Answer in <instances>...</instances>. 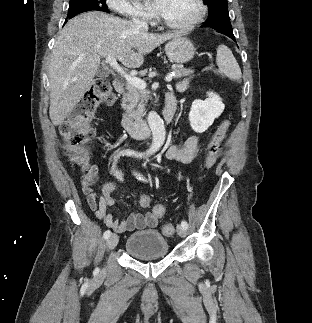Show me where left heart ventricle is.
Here are the masks:
<instances>
[{
  "mask_svg": "<svg viewBox=\"0 0 312 323\" xmlns=\"http://www.w3.org/2000/svg\"><path fill=\"white\" fill-rule=\"evenodd\" d=\"M162 13L169 22H176L177 18H187V14H198V2L196 0H166Z\"/></svg>",
  "mask_w": 312,
  "mask_h": 323,
  "instance_id": "obj_1",
  "label": "left heart ventricle"
}]
</instances>
